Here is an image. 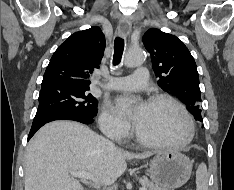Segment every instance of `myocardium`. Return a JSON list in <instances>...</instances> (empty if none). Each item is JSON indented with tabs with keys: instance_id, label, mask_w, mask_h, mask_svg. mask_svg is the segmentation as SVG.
<instances>
[{
	"instance_id": "f54148a6",
	"label": "myocardium",
	"mask_w": 234,
	"mask_h": 190,
	"mask_svg": "<svg viewBox=\"0 0 234 190\" xmlns=\"http://www.w3.org/2000/svg\"><path fill=\"white\" fill-rule=\"evenodd\" d=\"M158 101L169 102L172 105H174L182 113V115L184 116L186 123H187V135L185 136L184 139H182L180 141L152 140V139L145 137L140 132L137 125L135 124L134 125V133H135L136 139L140 143H142L146 146H150V147L181 148V147H184V146L188 145L189 143H191V141L193 140L194 135H195V127H194L193 119H192L190 113L188 112V110L186 109V107L180 101H178L176 98H174L173 96H171L169 94H164V93L155 94V95L151 96L148 99L147 103H155Z\"/></svg>"
}]
</instances>
